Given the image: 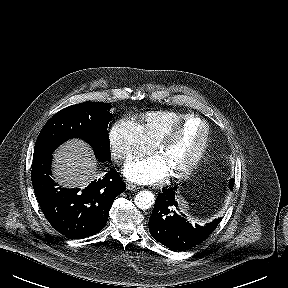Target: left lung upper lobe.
I'll return each mask as SVG.
<instances>
[{"label":"left lung upper lobe","instance_id":"1","mask_svg":"<svg viewBox=\"0 0 288 288\" xmlns=\"http://www.w3.org/2000/svg\"><path fill=\"white\" fill-rule=\"evenodd\" d=\"M229 186L233 188V186H234V179H230Z\"/></svg>","mask_w":288,"mask_h":288}]
</instances>
